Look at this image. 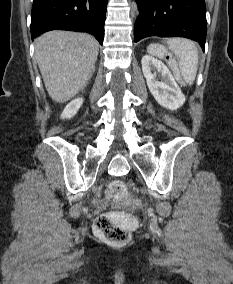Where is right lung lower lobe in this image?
<instances>
[{
	"label": "right lung lower lobe",
	"instance_id": "1",
	"mask_svg": "<svg viewBox=\"0 0 233 284\" xmlns=\"http://www.w3.org/2000/svg\"><path fill=\"white\" fill-rule=\"evenodd\" d=\"M108 0H34L31 15L32 40L54 30L93 34L103 43Z\"/></svg>",
	"mask_w": 233,
	"mask_h": 284
}]
</instances>
